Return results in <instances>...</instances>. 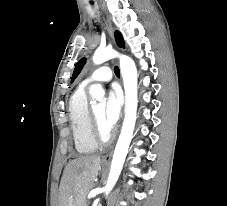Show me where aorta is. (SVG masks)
<instances>
[{
	"instance_id": "obj_1",
	"label": "aorta",
	"mask_w": 227,
	"mask_h": 206,
	"mask_svg": "<svg viewBox=\"0 0 227 206\" xmlns=\"http://www.w3.org/2000/svg\"><path fill=\"white\" fill-rule=\"evenodd\" d=\"M113 58H119L120 62V71L125 90V117L113 154L108 180L104 189L105 195H108L112 191L120 176L133 137L138 105L137 68L130 57L119 54L112 48H104L95 51L93 62L94 64L99 65ZM89 93L93 100H101L104 97L105 91L101 85L95 84L91 85Z\"/></svg>"
}]
</instances>
